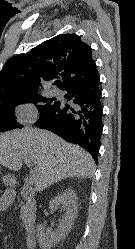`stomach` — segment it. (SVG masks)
<instances>
[{
  "instance_id": "obj_1",
  "label": "stomach",
  "mask_w": 135,
  "mask_h": 249,
  "mask_svg": "<svg viewBox=\"0 0 135 249\" xmlns=\"http://www.w3.org/2000/svg\"><path fill=\"white\" fill-rule=\"evenodd\" d=\"M4 180H5L7 183L13 182V179H12L10 176L5 177Z\"/></svg>"
}]
</instances>
